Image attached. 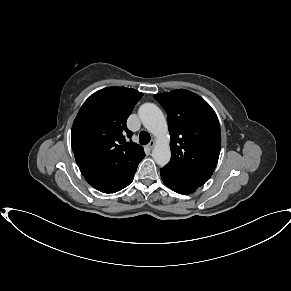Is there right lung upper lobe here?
<instances>
[{
    "instance_id": "cb5924a9",
    "label": "right lung upper lobe",
    "mask_w": 291,
    "mask_h": 291,
    "mask_svg": "<svg viewBox=\"0 0 291 291\" xmlns=\"http://www.w3.org/2000/svg\"><path fill=\"white\" fill-rule=\"evenodd\" d=\"M142 96L135 89L114 86L95 92L82 105L71 145L84 177L121 173L145 156L142 146L125 139L132 136L127 118Z\"/></svg>"
}]
</instances>
